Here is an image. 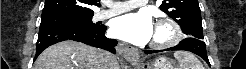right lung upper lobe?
Returning a JSON list of instances; mask_svg holds the SVG:
<instances>
[{"label": "right lung upper lobe", "instance_id": "1", "mask_svg": "<svg viewBox=\"0 0 246 69\" xmlns=\"http://www.w3.org/2000/svg\"><path fill=\"white\" fill-rule=\"evenodd\" d=\"M96 0H46L42 17L60 14H93Z\"/></svg>", "mask_w": 246, "mask_h": 69}]
</instances>
